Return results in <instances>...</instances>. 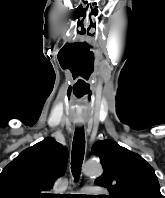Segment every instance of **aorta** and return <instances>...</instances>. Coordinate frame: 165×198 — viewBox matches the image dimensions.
Segmentation results:
<instances>
[{
	"instance_id": "obj_1",
	"label": "aorta",
	"mask_w": 165,
	"mask_h": 198,
	"mask_svg": "<svg viewBox=\"0 0 165 198\" xmlns=\"http://www.w3.org/2000/svg\"><path fill=\"white\" fill-rule=\"evenodd\" d=\"M83 172L88 176H99L102 174L103 170L99 163L88 162L84 165Z\"/></svg>"
}]
</instances>
